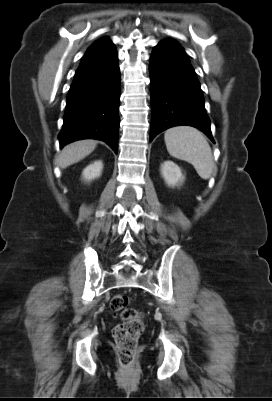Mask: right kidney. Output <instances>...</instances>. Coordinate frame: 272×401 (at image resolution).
Returning <instances> with one entry per match:
<instances>
[{
    "instance_id": "obj_1",
    "label": "right kidney",
    "mask_w": 272,
    "mask_h": 401,
    "mask_svg": "<svg viewBox=\"0 0 272 401\" xmlns=\"http://www.w3.org/2000/svg\"><path fill=\"white\" fill-rule=\"evenodd\" d=\"M103 169V163L102 161H95L94 163L88 165L84 170H83V179L85 181H91L101 175Z\"/></svg>"
}]
</instances>
